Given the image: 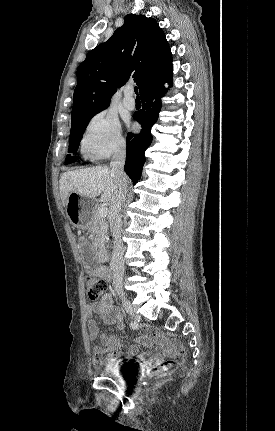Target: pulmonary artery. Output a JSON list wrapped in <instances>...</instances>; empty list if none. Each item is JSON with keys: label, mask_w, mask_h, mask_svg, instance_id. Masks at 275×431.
<instances>
[{"label": "pulmonary artery", "mask_w": 275, "mask_h": 431, "mask_svg": "<svg viewBox=\"0 0 275 431\" xmlns=\"http://www.w3.org/2000/svg\"><path fill=\"white\" fill-rule=\"evenodd\" d=\"M132 89L131 88H127L124 92V99H123V104L124 106L129 109V110H133L136 106V102L135 99L132 97Z\"/></svg>", "instance_id": "pulmonary-artery-1"}]
</instances>
